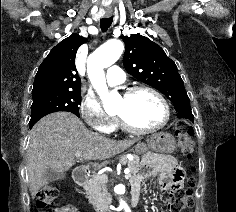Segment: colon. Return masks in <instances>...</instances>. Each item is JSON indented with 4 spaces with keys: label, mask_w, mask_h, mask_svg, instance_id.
<instances>
[{
    "label": "colon",
    "mask_w": 236,
    "mask_h": 212,
    "mask_svg": "<svg viewBox=\"0 0 236 212\" xmlns=\"http://www.w3.org/2000/svg\"><path fill=\"white\" fill-rule=\"evenodd\" d=\"M175 133L179 140L181 154L185 157H191L194 152V144L192 142V127L183 119H180L175 124ZM173 187V203L171 212H182L192 208L194 204L193 191L195 181L193 177L188 180V188L180 191L181 184L172 183ZM58 197V189L53 185H47L38 193L36 206L39 209H47L46 212H61V208L54 206Z\"/></svg>",
    "instance_id": "5ec220e1"
}]
</instances>
